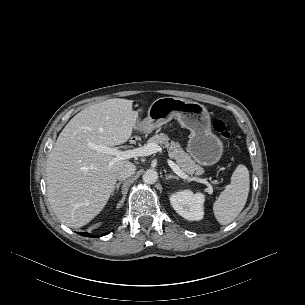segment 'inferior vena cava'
<instances>
[{
    "label": "inferior vena cava",
    "instance_id": "obj_1",
    "mask_svg": "<svg viewBox=\"0 0 305 305\" xmlns=\"http://www.w3.org/2000/svg\"><path fill=\"white\" fill-rule=\"evenodd\" d=\"M136 171V166L133 163H125L124 165H122L116 174V177L118 180H125L128 179L129 177H131Z\"/></svg>",
    "mask_w": 305,
    "mask_h": 305
}]
</instances>
